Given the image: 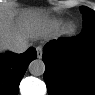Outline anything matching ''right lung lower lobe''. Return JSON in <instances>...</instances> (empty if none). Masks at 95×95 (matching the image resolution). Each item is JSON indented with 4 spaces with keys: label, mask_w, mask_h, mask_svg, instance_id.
<instances>
[{
    "label": "right lung lower lobe",
    "mask_w": 95,
    "mask_h": 95,
    "mask_svg": "<svg viewBox=\"0 0 95 95\" xmlns=\"http://www.w3.org/2000/svg\"><path fill=\"white\" fill-rule=\"evenodd\" d=\"M37 56L31 47L23 54L8 52L0 56V93L1 95H17L19 83L29 63Z\"/></svg>",
    "instance_id": "right-lung-lower-lobe-1"
}]
</instances>
